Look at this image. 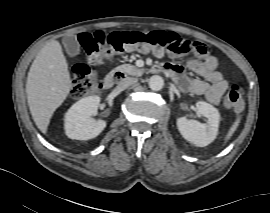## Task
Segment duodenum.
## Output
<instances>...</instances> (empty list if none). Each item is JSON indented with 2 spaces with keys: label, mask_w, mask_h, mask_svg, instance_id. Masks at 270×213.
<instances>
[{
  "label": "duodenum",
  "mask_w": 270,
  "mask_h": 213,
  "mask_svg": "<svg viewBox=\"0 0 270 213\" xmlns=\"http://www.w3.org/2000/svg\"><path fill=\"white\" fill-rule=\"evenodd\" d=\"M163 71H164L163 69L156 68V72L158 73H163ZM124 78H125V74L123 72L117 71V72L111 73L104 78L102 82V87L105 90H110L115 86V84L118 81L123 80Z\"/></svg>",
  "instance_id": "410a0bca"
}]
</instances>
